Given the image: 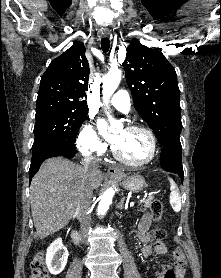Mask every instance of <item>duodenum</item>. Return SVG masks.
I'll use <instances>...</instances> for the list:
<instances>
[{
	"instance_id": "duodenum-1",
	"label": "duodenum",
	"mask_w": 221,
	"mask_h": 278,
	"mask_svg": "<svg viewBox=\"0 0 221 278\" xmlns=\"http://www.w3.org/2000/svg\"><path fill=\"white\" fill-rule=\"evenodd\" d=\"M78 239H79L78 233H77V232H73V233H72V240H73V243H74V244H77V243H78Z\"/></svg>"
}]
</instances>
